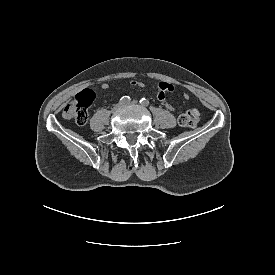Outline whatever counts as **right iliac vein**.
<instances>
[{"label": "right iliac vein", "mask_w": 275, "mask_h": 275, "mask_svg": "<svg viewBox=\"0 0 275 275\" xmlns=\"http://www.w3.org/2000/svg\"><path fill=\"white\" fill-rule=\"evenodd\" d=\"M120 107H121L120 104H116V105H114V107L112 108V111H113V112H116Z\"/></svg>", "instance_id": "1"}]
</instances>
